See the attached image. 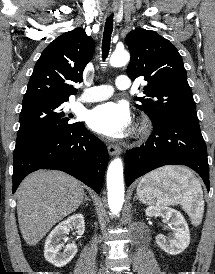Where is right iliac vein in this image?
<instances>
[{"label": "right iliac vein", "instance_id": "63e3f726", "mask_svg": "<svg viewBox=\"0 0 215 274\" xmlns=\"http://www.w3.org/2000/svg\"><path fill=\"white\" fill-rule=\"evenodd\" d=\"M98 274H106V273H104V272H100V273H98Z\"/></svg>", "mask_w": 215, "mask_h": 274}]
</instances>
